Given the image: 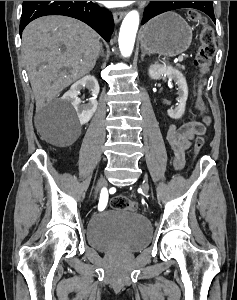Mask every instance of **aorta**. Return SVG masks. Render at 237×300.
Listing matches in <instances>:
<instances>
[{"mask_svg": "<svg viewBox=\"0 0 237 300\" xmlns=\"http://www.w3.org/2000/svg\"><path fill=\"white\" fill-rule=\"evenodd\" d=\"M138 27L139 13L138 11H130L120 27L118 43L122 57L132 55Z\"/></svg>", "mask_w": 237, "mask_h": 300, "instance_id": "1", "label": "aorta"}]
</instances>
